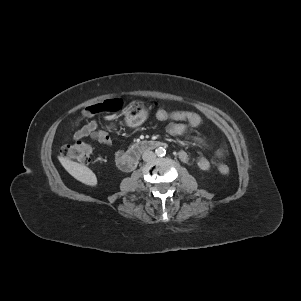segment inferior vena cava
<instances>
[{"instance_id":"inferior-vena-cava-1","label":"inferior vena cava","mask_w":301,"mask_h":301,"mask_svg":"<svg viewBox=\"0 0 301 301\" xmlns=\"http://www.w3.org/2000/svg\"><path fill=\"white\" fill-rule=\"evenodd\" d=\"M155 153L152 151H145L142 155L144 161H152L155 158Z\"/></svg>"}]
</instances>
